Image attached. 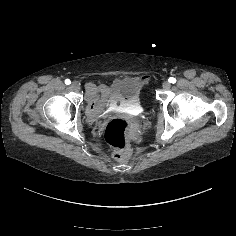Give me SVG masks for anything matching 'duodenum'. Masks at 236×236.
I'll use <instances>...</instances> for the list:
<instances>
[{
  "instance_id": "obj_1",
  "label": "duodenum",
  "mask_w": 236,
  "mask_h": 236,
  "mask_svg": "<svg viewBox=\"0 0 236 236\" xmlns=\"http://www.w3.org/2000/svg\"><path fill=\"white\" fill-rule=\"evenodd\" d=\"M106 94L96 88H91L88 92L87 112L90 116H97L104 110Z\"/></svg>"
}]
</instances>
